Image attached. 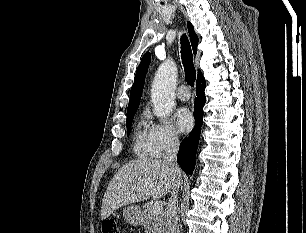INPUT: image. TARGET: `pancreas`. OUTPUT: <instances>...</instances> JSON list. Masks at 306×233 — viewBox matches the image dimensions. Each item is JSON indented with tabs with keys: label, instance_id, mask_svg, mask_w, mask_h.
Segmentation results:
<instances>
[{
	"label": "pancreas",
	"instance_id": "1",
	"mask_svg": "<svg viewBox=\"0 0 306 233\" xmlns=\"http://www.w3.org/2000/svg\"><path fill=\"white\" fill-rule=\"evenodd\" d=\"M152 206L153 204L151 202H147L144 205L145 214L143 226L149 231V233H165L163 209L154 212Z\"/></svg>",
	"mask_w": 306,
	"mask_h": 233
}]
</instances>
